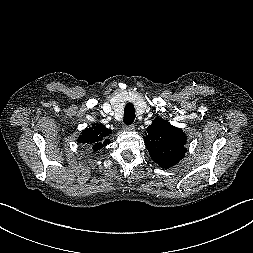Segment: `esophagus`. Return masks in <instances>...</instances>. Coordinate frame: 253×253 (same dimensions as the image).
Segmentation results:
<instances>
[{
	"label": "esophagus",
	"mask_w": 253,
	"mask_h": 253,
	"mask_svg": "<svg viewBox=\"0 0 253 253\" xmlns=\"http://www.w3.org/2000/svg\"><path fill=\"white\" fill-rule=\"evenodd\" d=\"M135 129V126L132 124V125H124L123 126V130L124 131H134Z\"/></svg>",
	"instance_id": "34e87169"
}]
</instances>
